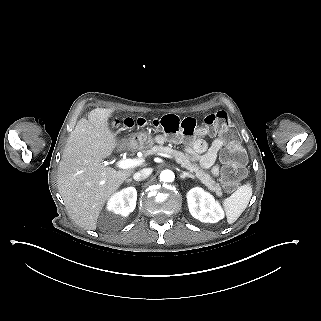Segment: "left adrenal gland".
I'll return each mask as SVG.
<instances>
[{
  "label": "left adrenal gland",
  "instance_id": "1",
  "mask_svg": "<svg viewBox=\"0 0 321 321\" xmlns=\"http://www.w3.org/2000/svg\"><path fill=\"white\" fill-rule=\"evenodd\" d=\"M186 177H189V178H192V179L195 178L194 175L190 174L189 172L183 171V172L180 174V178L184 179V178H186Z\"/></svg>",
  "mask_w": 321,
  "mask_h": 321
}]
</instances>
